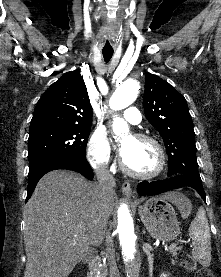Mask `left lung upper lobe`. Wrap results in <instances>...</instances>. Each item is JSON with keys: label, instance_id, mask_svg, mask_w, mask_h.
Wrapping results in <instances>:
<instances>
[{"label": "left lung upper lobe", "instance_id": "left-lung-upper-lobe-1", "mask_svg": "<svg viewBox=\"0 0 221 277\" xmlns=\"http://www.w3.org/2000/svg\"><path fill=\"white\" fill-rule=\"evenodd\" d=\"M143 106L146 118L159 131L169 156L167 176L200 178L195 133L184 96L168 82L147 73Z\"/></svg>", "mask_w": 221, "mask_h": 277}]
</instances>
